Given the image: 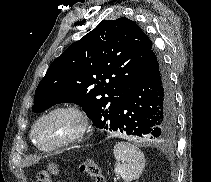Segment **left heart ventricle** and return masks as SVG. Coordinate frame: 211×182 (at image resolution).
<instances>
[{
  "label": "left heart ventricle",
  "mask_w": 211,
  "mask_h": 182,
  "mask_svg": "<svg viewBox=\"0 0 211 182\" xmlns=\"http://www.w3.org/2000/svg\"><path fill=\"white\" fill-rule=\"evenodd\" d=\"M78 127V120L70 113H56L43 120L35 131V138L41 145L57 143Z\"/></svg>",
  "instance_id": "1"
}]
</instances>
